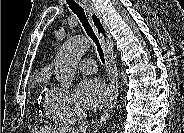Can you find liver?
Listing matches in <instances>:
<instances>
[{
  "instance_id": "liver-1",
  "label": "liver",
  "mask_w": 184,
  "mask_h": 133,
  "mask_svg": "<svg viewBox=\"0 0 184 133\" xmlns=\"http://www.w3.org/2000/svg\"><path fill=\"white\" fill-rule=\"evenodd\" d=\"M35 133H74V132H71V129H68V128H58V127H55V128H40V129H35L33 130Z\"/></svg>"
}]
</instances>
